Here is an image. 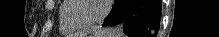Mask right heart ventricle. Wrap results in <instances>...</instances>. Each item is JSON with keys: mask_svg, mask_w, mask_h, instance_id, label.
Returning <instances> with one entry per match:
<instances>
[{"mask_svg": "<svg viewBox=\"0 0 219 37\" xmlns=\"http://www.w3.org/2000/svg\"><path fill=\"white\" fill-rule=\"evenodd\" d=\"M70 4L67 1H62L61 5L59 7L58 13H59V20H60V29L63 34H69L73 33L78 28L73 27L68 23V21L65 18V13L69 9Z\"/></svg>", "mask_w": 219, "mask_h": 37, "instance_id": "1", "label": "right heart ventricle"}]
</instances>
